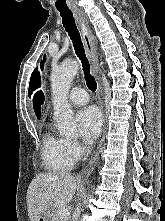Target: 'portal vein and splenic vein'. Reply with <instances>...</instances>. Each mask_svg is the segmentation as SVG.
Here are the masks:
<instances>
[{"label": "portal vein and splenic vein", "mask_w": 165, "mask_h": 221, "mask_svg": "<svg viewBox=\"0 0 165 221\" xmlns=\"http://www.w3.org/2000/svg\"><path fill=\"white\" fill-rule=\"evenodd\" d=\"M58 212H59V215L63 218H66L69 216V210L65 207L60 208Z\"/></svg>", "instance_id": "18ae733b"}]
</instances>
